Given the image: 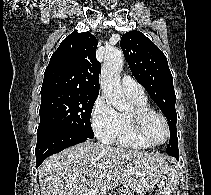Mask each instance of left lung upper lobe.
Masks as SVG:
<instances>
[{
	"label": "left lung upper lobe",
	"mask_w": 211,
	"mask_h": 195,
	"mask_svg": "<svg viewBox=\"0 0 211 195\" xmlns=\"http://www.w3.org/2000/svg\"><path fill=\"white\" fill-rule=\"evenodd\" d=\"M120 45L132 74L168 120L170 141L166 149L167 154H178L176 96L166 56L139 31L123 34Z\"/></svg>",
	"instance_id": "5c2ea615"
}]
</instances>
